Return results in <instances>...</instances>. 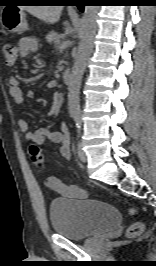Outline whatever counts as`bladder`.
<instances>
[{
	"label": "bladder",
	"mask_w": 156,
	"mask_h": 266,
	"mask_svg": "<svg viewBox=\"0 0 156 266\" xmlns=\"http://www.w3.org/2000/svg\"><path fill=\"white\" fill-rule=\"evenodd\" d=\"M50 220L56 234L82 240L115 228L121 214L113 205L96 199H57L50 205Z\"/></svg>",
	"instance_id": "1"
}]
</instances>
